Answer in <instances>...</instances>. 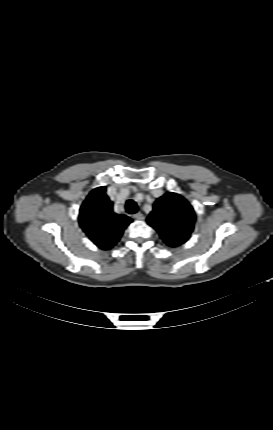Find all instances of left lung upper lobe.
I'll return each instance as SVG.
<instances>
[{"label":"left lung upper lobe","instance_id":"left-lung-upper-lobe-1","mask_svg":"<svg viewBox=\"0 0 273 430\" xmlns=\"http://www.w3.org/2000/svg\"><path fill=\"white\" fill-rule=\"evenodd\" d=\"M194 222L195 212L192 206L182 196L171 192L156 200L153 211L147 218V223L171 247L188 240Z\"/></svg>","mask_w":273,"mask_h":430}]
</instances>
